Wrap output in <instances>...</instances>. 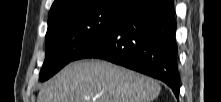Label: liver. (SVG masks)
Wrapping results in <instances>:
<instances>
[{
	"instance_id": "6515ba94",
	"label": "liver",
	"mask_w": 221,
	"mask_h": 102,
	"mask_svg": "<svg viewBox=\"0 0 221 102\" xmlns=\"http://www.w3.org/2000/svg\"><path fill=\"white\" fill-rule=\"evenodd\" d=\"M160 90L149 77L92 59L66 66L42 87L37 102H151Z\"/></svg>"
}]
</instances>
